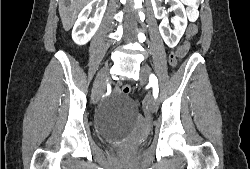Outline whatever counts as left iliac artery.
I'll return each instance as SVG.
<instances>
[{"label":"left iliac artery","instance_id":"1","mask_svg":"<svg viewBox=\"0 0 250 169\" xmlns=\"http://www.w3.org/2000/svg\"><path fill=\"white\" fill-rule=\"evenodd\" d=\"M149 83L153 87V96L154 98L158 97L159 88H158V80L154 74H151L149 77Z\"/></svg>","mask_w":250,"mask_h":169}]
</instances>
